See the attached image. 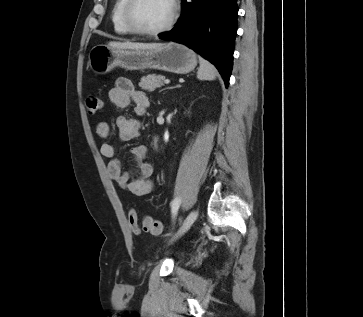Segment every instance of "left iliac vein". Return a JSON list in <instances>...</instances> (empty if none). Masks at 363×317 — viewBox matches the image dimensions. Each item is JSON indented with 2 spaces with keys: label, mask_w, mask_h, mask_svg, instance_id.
<instances>
[{
  "label": "left iliac vein",
  "mask_w": 363,
  "mask_h": 317,
  "mask_svg": "<svg viewBox=\"0 0 363 317\" xmlns=\"http://www.w3.org/2000/svg\"><path fill=\"white\" fill-rule=\"evenodd\" d=\"M197 217L198 212L196 210L191 211L173 239H177L178 237L182 236L196 221Z\"/></svg>",
  "instance_id": "left-iliac-vein-1"
}]
</instances>
